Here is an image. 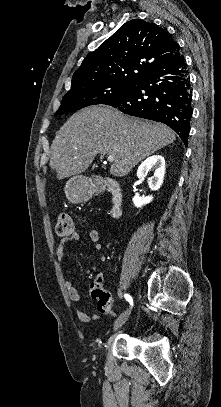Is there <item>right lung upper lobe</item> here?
<instances>
[{
	"mask_svg": "<svg viewBox=\"0 0 221 407\" xmlns=\"http://www.w3.org/2000/svg\"><path fill=\"white\" fill-rule=\"evenodd\" d=\"M178 48L172 35L155 23L128 21L84 58L73 74L69 91L101 83L136 84Z\"/></svg>",
	"mask_w": 221,
	"mask_h": 407,
	"instance_id": "cb5924a9",
	"label": "right lung upper lobe"
}]
</instances>
